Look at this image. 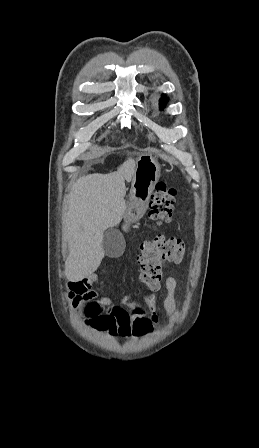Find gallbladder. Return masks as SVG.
Listing matches in <instances>:
<instances>
[{"instance_id":"bac80fb5","label":"gallbladder","mask_w":259,"mask_h":448,"mask_svg":"<svg viewBox=\"0 0 259 448\" xmlns=\"http://www.w3.org/2000/svg\"><path fill=\"white\" fill-rule=\"evenodd\" d=\"M102 246L106 256H109V258H119L124 252L125 242L122 234L118 230L111 228V230L105 232Z\"/></svg>"}]
</instances>
